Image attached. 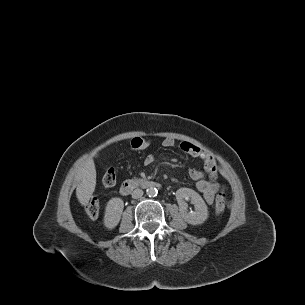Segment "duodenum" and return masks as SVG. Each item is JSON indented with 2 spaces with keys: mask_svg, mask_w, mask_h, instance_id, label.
<instances>
[{
  "mask_svg": "<svg viewBox=\"0 0 305 305\" xmlns=\"http://www.w3.org/2000/svg\"><path fill=\"white\" fill-rule=\"evenodd\" d=\"M160 186L161 183L152 180H127L120 186V193L122 195H129L137 187L154 188Z\"/></svg>",
  "mask_w": 305,
  "mask_h": 305,
  "instance_id": "1",
  "label": "duodenum"
}]
</instances>
